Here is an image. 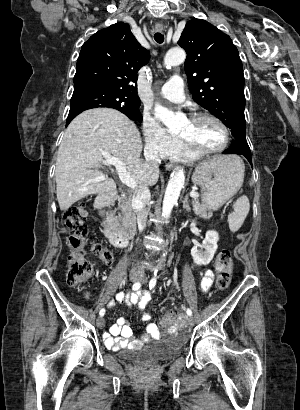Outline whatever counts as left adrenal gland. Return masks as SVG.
<instances>
[{"mask_svg": "<svg viewBox=\"0 0 300 410\" xmlns=\"http://www.w3.org/2000/svg\"><path fill=\"white\" fill-rule=\"evenodd\" d=\"M183 208L187 211L190 212L191 211V207L189 205V195L187 194L183 200Z\"/></svg>", "mask_w": 300, "mask_h": 410, "instance_id": "left-adrenal-gland-1", "label": "left adrenal gland"}]
</instances>
